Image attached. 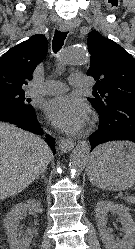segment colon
Returning <instances> with one entry per match:
<instances>
[{"mask_svg": "<svg viewBox=\"0 0 135 249\" xmlns=\"http://www.w3.org/2000/svg\"><path fill=\"white\" fill-rule=\"evenodd\" d=\"M0 249H4V248L0 246Z\"/></svg>", "mask_w": 135, "mask_h": 249, "instance_id": "1", "label": "colon"}]
</instances>
